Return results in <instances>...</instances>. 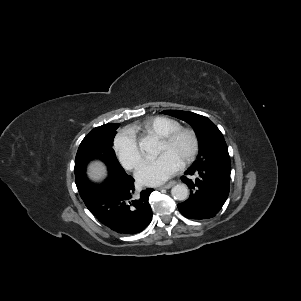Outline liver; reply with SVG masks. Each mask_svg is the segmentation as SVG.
<instances>
[{
  "label": "liver",
  "instance_id": "liver-1",
  "mask_svg": "<svg viewBox=\"0 0 301 301\" xmlns=\"http://www.w3.org/2000/svg\"><path fill=\"white\" fill-rule=\"evenodd\" d=\"M106 175V169L100 162H95L89 167V177L93 180H100Z\"/></svg>",
  "mask_w": 301,
  "mask_h": 301
}]
</instances>
